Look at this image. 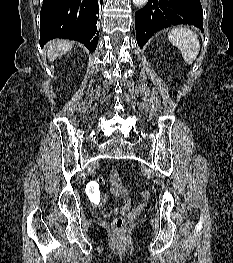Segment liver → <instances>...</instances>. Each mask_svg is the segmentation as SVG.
Here are the masks:
<instances>
[{"instance_id": "obj_1", "label": "liver", "mask_w": 233, "mask_h": 263, "mask_svg": "<svg viewBox=\"0 0 233 263\" xmlns=\"http://www.w3.org/2000/svg\"><path fill=\"white\" fill-rule=\"evenodd\" d=\"M73 43L64 39H55L49 41L46 45L47 47V57L50 62L54 61L56 58L66 54L72 49Z\"/></svg>"}]
</instances>
